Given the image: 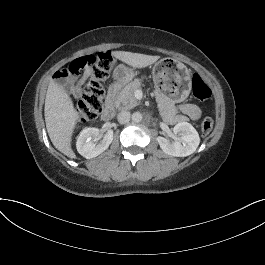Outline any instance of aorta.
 Returning a JSON list of instances; mask_svg holds the SVG:
<instances>
[{"mask_svg":"<svg viewBox=\"0 0 265 265\" xmlns=\"http://www.w3.org/2000/svg\"><path fill=\"white\" fill-rule=\"evenodd\" d=\"M132 120L135 123L141 122L142 121V114L140 112H134L133 115H132Z\"/></svg>","mask_w":265,"mask_h":265,"instance_id":"762f6f07","label":"aorta"}]
</instances>
